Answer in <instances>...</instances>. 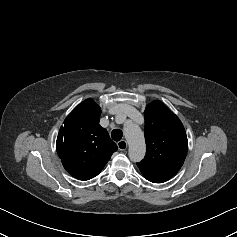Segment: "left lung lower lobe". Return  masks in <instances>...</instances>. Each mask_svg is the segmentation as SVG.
I'll list each match as a JSON object with an SVG mask.
<instances>
[{
  "instance_id": "1",
  "label": "left lung lower lobe",
  "mask_w": 237,
  "mask_h": 237,
  "mask_svg": "<svg viewBox=\"0 0 237 237\" xmlns=\"http://www.w3.org/2000/svg\"><path fill=\"white\" fill-rule=\"evenodd\" d=\"M144 177H145L147 180H149V181H151V182H153V183H162L161 181H158V180H156V179L150 178V177H148V176H145V175H144Z\"/></svg>"
}]
</instances>
